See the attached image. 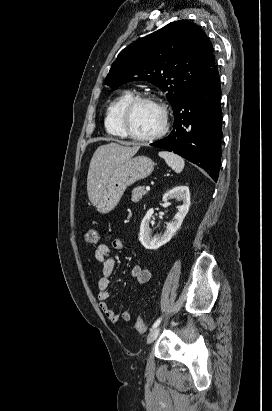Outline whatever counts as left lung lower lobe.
<instances>
[{
	"label": "left lung lower lobe",
	"mask_w": 272,
	"mask_h": 411,
	"mask_svg": "<svg viewBox=\"0 0 272 411\" xmlns=\"http://www.w3.org/2000/svg\"><path fill=\"white\" fill-rule=\"evenodd\" d=\"M217 67L194 85L173 110L170 135L151 145L174 152L203 168L215 181L221 160L222 111Z\"/></svg>",
	"instance_id": "obj_1"
}]
</instances>
